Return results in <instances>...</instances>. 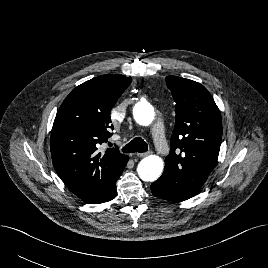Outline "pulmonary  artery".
I'll return each instance as SVG.
<instances>
[{
  "instance_id": "obj_1",
  "label": "pulmonary artery",
  "mask_w": 268,
  "mask_h": 268,
  "mask_svg": "<svg viewBox=\"0 0 268 268\" xmlns=\"http://www.w3.org/2000/svg\"><path fill=\"white\" fill-rule=\"evenodd\" d=\"M155 146L158 148L161 154H167L169 152V147L165 138V132L163 127H157L149 131Z\"/></svg>"
}]
</instances>
